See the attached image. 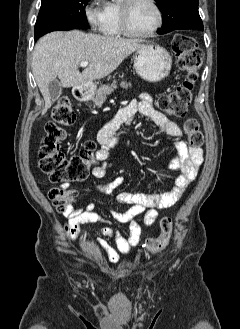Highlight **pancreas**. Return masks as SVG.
<instances>
[{"label": "pancreas", "instance_id": "pancreas-1", "mask_svg": "<svg viewBox=\"0 0 240 329\" xmlns=\"http://www.w3.org/2000/svg\"><path fill=\"white\" fill-rule=\"evenodd\" d=\"M128 86L130 87L131 84H127L125 81L121 82V87L127 89ZM116 88H117L116 81H113V83L110 85H102L101 87H99L94 97L92 98L94 106L101 107L104 101L106 100L107 95H110L112 92H114Z\"/></svg>", "mask_w": 240, "mask_h": 329}]
</instances>
